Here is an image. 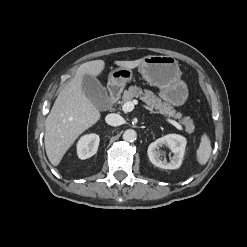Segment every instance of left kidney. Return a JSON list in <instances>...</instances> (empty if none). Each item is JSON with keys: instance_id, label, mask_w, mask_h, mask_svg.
I'll list each match as a JSON object with an SVG mask.
<instances>
[{"instance_id": "5707ae66", "label": "left kidney", "mask_w": 247, "mask_h": 247, "mask_svg": "<svg viewBox=\"0 0 247 247\" xmlns=\"http://www.w3.org/2000/svg\"><path fill=\"white\" fill-rule=\"evenodd\" d=\"M186 138L177 135V134H168L163 136L156 141L152 142L148 147V157L151 163L162 169H177L181 166L185 147H186ZM166 146L168 147L173 156L170 159V162L167 160H161V152L158 150L159 147Z\"/></svg>"}]
</instances>
